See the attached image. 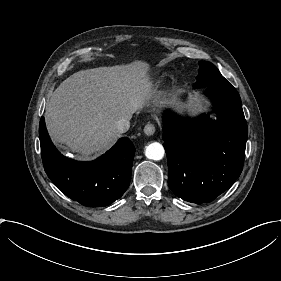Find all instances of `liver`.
Here are the masks:
<instances>
[{
	"label": "liver",
	"instance_id": "6515ba94",
	"mask_svg": "<svg viewBox=\"0 0 281 281\" xmlns=\"http://www.w3.org/2000/svg\"><path fill=\"white\" fill-rule=\"evenodd\" d=\"M143 61L80 70L65 79L46 104L45 121L52 140L66 144L81 159H92L110 148L120 136L116 122L131 118L155 95ZM153 104L187 107L175 99ZM93 155V156H92Z\"/></svg>",
	"mask_w": 281,
	"mask_h": 281
}]
</instances>
